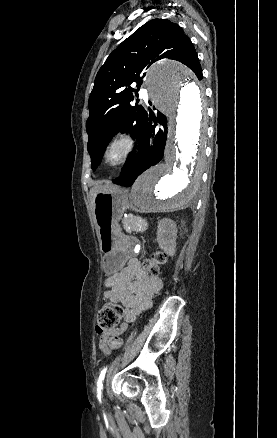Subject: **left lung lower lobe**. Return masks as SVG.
<instances>
[{"label":"left lung lower lobe","instance_id":"0a47b994","mask_svg":"<svg viewBox=\"0 0 277 438\" xmlns=\"http://www.w3.org/2000/svg\"><path fill=\"white\" fill-rule=\"evenodd\" d=\"M157 122L163 125V128H156ZM166 140V117L161 113H158L157 117L150 114L148 117V130L140 142V153L128 165L124 173L113 180V182L122 186H131L142 172L161 161L164 155Z\"/></svg>","mask_w":277,"mask_h":438}]
</instances>
